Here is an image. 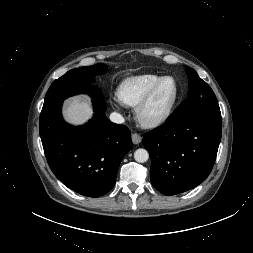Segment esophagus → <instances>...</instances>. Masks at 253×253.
<instances>
[{"instance_id": "esophagus-1", "label": "esophagus", "mask_w": 253, "mask_h": 253, "mask_svg": "<svg viewBox=\"0 0 253 253\" xmlns=\"http://www.w3.org/2000/svg\"><path fill=\"white\" fill-rule=\"evenodd\" d=\"M141 141H142V137L139 134L137 133L132 134V142L134 144H139Z\"/></svg>"}]
</instances>
